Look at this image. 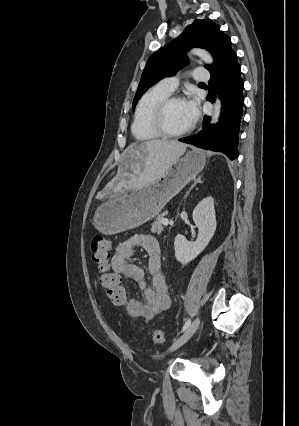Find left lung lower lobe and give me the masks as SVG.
Wrapping results in <instances>:
<instances>
[{
    "label": "left lung lower lobe",
    "mask_w": 299,
    "mask_h": 426,
    "mask_svg": "<svg viewBox=\"0 0 299 426\" xmlns=\"http://www.w3.org/2000/svg\"><path fill=\"white\" fill-rule=\"evenodd\" d=\"M211 79L207 100L213 102L214 92H219L222 101V113L216 125H210V118L204 116L202 130L192 136L179 139L198 148L222 152L234 160L238 157V135L242 106L243 81L236 53L231 50L224 53L209 70Z\"/></svg>",
    "instance_id": "left-lung-lower-lobe-1"
}]
</instances>
